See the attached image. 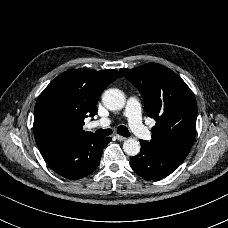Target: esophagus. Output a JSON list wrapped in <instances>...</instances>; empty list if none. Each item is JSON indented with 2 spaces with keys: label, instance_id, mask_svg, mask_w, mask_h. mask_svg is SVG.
Returning <instances> with one entry per match:
<instances>
[{
  "label": "esophagus",
  "instance_id": "1",
  "mask_svg": "<svg viewBox=\"0 0 228 228\" xmlns=\"http://www.w3.org/2000/svg\"><path fill=\"white\" fill-rule=\"evenodd\" d=\"M116 137H117V139H118L119 141H124V140L127 139L126 137H123V136H121V135H116Z\"/></svg>",
  "mask_w": 228,
  "mask_h": 228
}]
</instances>
